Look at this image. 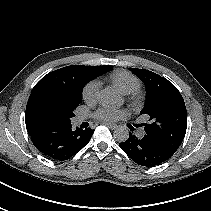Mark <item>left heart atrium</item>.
I'll return each instance as SVG.
<instances>
[{
  "mask_svg": "<svg viewBox=\"0 0 211 211\" xmlns=\"http://www.w3.org/2000/svg\"><path fill=\"white\" fill-rule=\"evenodd\" d=\"M123 112L110 106H101L94 114L99 120H114L122 116Z\"/></svg>",
  "mask_w": 211,
  "mask_h": 211,
  "instance_id": "1",
  "label": "left heart atrium"
}]
</instances>
